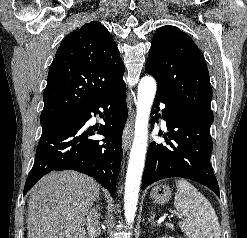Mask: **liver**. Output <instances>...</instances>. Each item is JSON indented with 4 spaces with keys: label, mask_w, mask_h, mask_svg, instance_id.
<instances>
[{
    "label": "liver",
    "mask_w": 247,
    "mask_h": 238,
    "mask_svg": "<svg viewBox=\"0 0 247 238\" xmlns=\"http://www.w3.org/2000/svg\"><path fill=\"white\" fill-rule=\"evenodd\" d=\"M98 183L76 171L51 172L32 189L28 238H84L89 208L99 197Z\"/></svg>",
    "instance_id": "obj_1"
}]
</instances>
